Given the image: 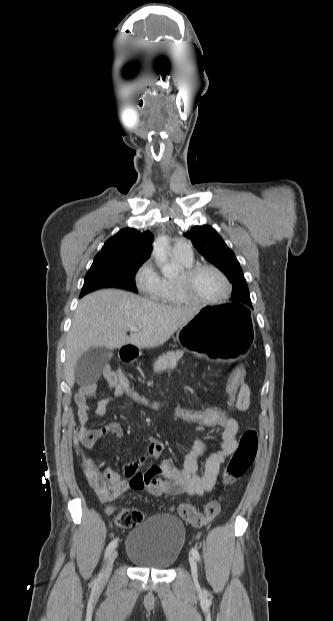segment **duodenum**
<instances>
[{
	"label": "duodenum",
	"mask_w": 333,
	"mask_h": 621,
	"mask_svg": "<svg viewBox=\"0 0 333 621\" xmlns=\"http://www.w3.org/2000/svg\"><path fill=\"white\" fill-rule=\"evenodd\" d=\"M138 356V352L134 348L124 347L121 349L120 357L124 362H133Z\"/></svg>",
	"instance_id": "duodenum-1"
}]
</instances>
